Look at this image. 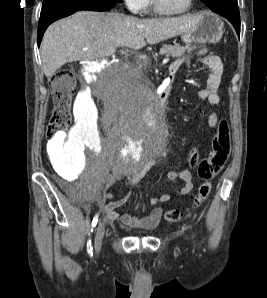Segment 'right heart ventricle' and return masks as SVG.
<instances>
[{
  "label": "right heart ventricle",
  "instance_id": "e07e8e85",
  "mask_svg": "<svg viewBox=\"0 0 267 298\" xmlns=\"http://www.w3.org/2000/svg\"><path fill=\"white\" fill-rule=\"evenodd\" d=\"M150 5V0H148V3H147V6L146 7H148Z\"/></svg>",
  "mask_w": 267,
  "mask_h": 298
}]
</instances>
